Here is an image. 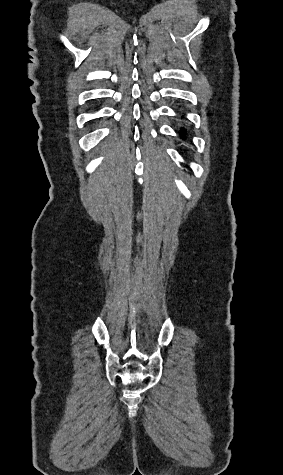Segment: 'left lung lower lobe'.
Instances as JSON below:
<instances>
[{"mask_svg": "<svg viewBox=\"0 0 283 475\" xmlns=\"http://www.w3.org/2000/svg\"><path fill=\"white\" fill-rule=\"evenodd\" d=\"M180 134H181L182 137H186L187 130L185 128H181Z\"/></svg>", "mask_w": 283, "mask_h": 475, "instance_id": "0a47b994", "label": "left lung lower lobe"}]
</instances>
